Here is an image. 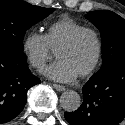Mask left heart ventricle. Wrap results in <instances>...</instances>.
Returning a JSON list of instances; mask_svg holds the SVG:
<instances>
[{
  "instance_id": "obj_1",
  "label": "left heart ventricle",
  "mask_w": 125,
  "mask_h": 125,
  "mask_svg": "<svg viewBox=\"0 0 125 125\" xmlns=\"http://www.w3.org/2000/svg\"><path fill=\"white\" fill-rule=\"evenodd\" d=\"M96 51L94 36L86 33L71 48L57 52L56 57L66 62L76 75H79L92 64Z\"/></svg>"
}]
</instances>
